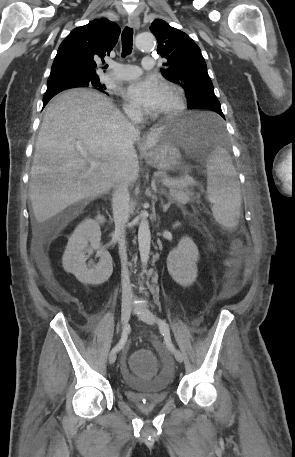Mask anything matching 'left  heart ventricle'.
<instances>
[{
	"label": "left heart ventricle",
	"mask_w": 295,
	"mask_h": 457,
	"mask_svg": "<svg viewBox=\"0 0 295 457\" xmlns=\"http://www.w3.org/2000/svg\"><path fill=\"white\" fill-rule=\"evenodd\" d=\"M173 101H174V98H173V95L171 94V92L164 89L162 99L155 112L159 113V112H162V111L168 109L173 104Z\"/></svg>",
	"instance_id": "left-heart-ventricle-1"
}]
</instances>
